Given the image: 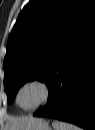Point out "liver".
I'll use <instances>...</instances> for the list:
<instances>
[{
    "label": "liver",
    "instance_id": "liver-1",
    "mask_svg": "<svg viewBox=\"0 0 95 130\" xmlns=\"http://www.w3.org/2000/svg\"><path fill=\"white\" fill-rule=\"evenodd\" d=\"M32 117H21V118H12L9 121L7 130H17L20 126L25 124Z\"/></svg>",
    "mask_w": 95,
    "mask_h": 130
}]
</instances>
